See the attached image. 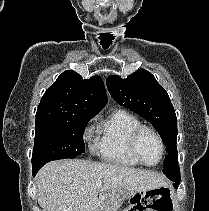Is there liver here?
Masks as SVG:
<instances>
[{
  "label": "liver",
  "instance_id": "obj_1",
  "mask_svg": "<svg viewBox=\"0 0 209 211\" xmlns=\"http://www.w3.org/2000/svg\"><path fill=\"white\" fill-rule=\"evenodd\" d=\"M97 180L103 185L97 187ZM36 184L37 200L43 211H103L98 199L101 188L120 195L146 192L162 186L164 180L154 171L66 159L43 166Z\"/></svg>",
  "mask_w": 209,
  "mask_h": 211
}]
</instances>
